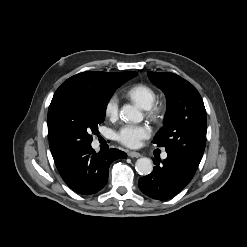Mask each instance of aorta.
<instances>
[{"label":"aorta","instance_id":"aorta-1","mask_svg":"<svg viewBox=\"0 0 247 247\" xmlns=\"http://www.w3.org/2000/svg\"><path fill=\"white\" fill-rule=\"evenodd\" d=\"M121 118L139 123L143 120V115L135 106L126 104L121 109ZM135 169L140 175H149L153 170L152 160L147 157L139 158L135 163Z\"/></svg>","mask_w":247,"mask_h":247}]
</instances>
